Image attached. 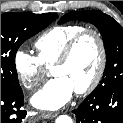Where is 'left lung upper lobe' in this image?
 <instances>
[{
    "instance_id": "5c2ea615",
    "label": "left lung upper lobe",
    "mask_w": 123,
    "mask_h": 123,
    "mask_svg": "<svg viewBox=\"0 0 123 123\" xmlns=\"http://www.w3.org/2000/svg\"><path fill=\"white\" fill-rule=\"evenodd\" d=\"M71 20L86 21L94 24L100 31L105 52L106 68L100 84L93 92H107L123 88V28L111 16L98 11H73L65 14L59 24Z\"/></svg>"
}]
</instances>
